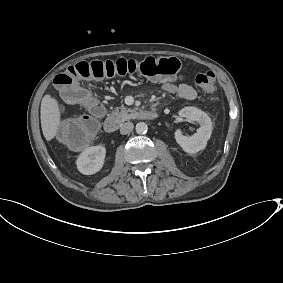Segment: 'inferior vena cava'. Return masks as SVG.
I'll return each mask as SVG.
<instances>
[{
    "mask_svg": "<svg viewBox=\"0 0 283 283\" xmlns=\"http://www.w3.org/2000/svg\"><path fill=\"white\" fill-rule=\"evenodd\" d=\"M133 129V123L131 122H126L124 124L121 125V128H120V133L122 135H125V134H128L132 131Z\"/></svg>",
    "mask_w": 283,
    "mask_h": 283,
    "instance_id": "602c4592",
    "label": "inferior vena cava"
}]
</instances>
